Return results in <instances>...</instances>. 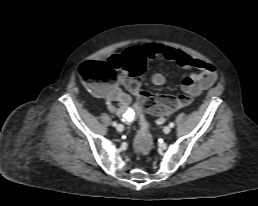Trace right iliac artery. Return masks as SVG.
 I'll return each mask as SVG.
<instances>
[{
    "label": "right iliac artery",
    "mask_w": 258,
    "mask_h": 206,
    "mask_svg": "<svg viewBox=\"0 0 258 206\" xmlns=\"http://www.w3.org/2000/svg\"><path fill=\"white\" fill-rule=\"evenodd\" d=\"M112 125H113V126H117V122H115V121L112 122Z\"/></svg>",
    "instance_id": "obj_1"
}]
</instances>
